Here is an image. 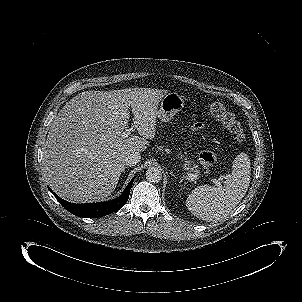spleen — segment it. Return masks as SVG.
<instances>
[{
  "label": "spleen",
  "mask_w": 302,
  "mask_h": 302,
  "mask_svg": "<svg viewBox=\"0 0 302 302\" xmlns=\"http://www.w3.org/2000/svg\"><path fill=\"white\" fill-rule=\"evenodd\" d=\"M250 183V162L246 154L233 161L231 172L220 186H198L188 196L186 206L194 216L207 222L229 215L245 196Z\"/></svg>",
  "instance_id": "1"
}]
</instances>
